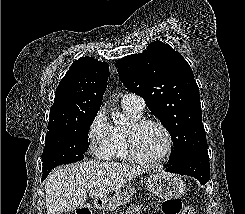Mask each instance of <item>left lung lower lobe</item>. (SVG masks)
I'll return each mask as SVG.
<instances>
[{"label":"left lung lower lobe","mask_w":245,"mask_h":214,"mask_svg":"<svg viewBox=\"0 0 245 214\" xmlns=\"http://www.w3.org/2000/svg\"><path fill=\"white\" fill-rule=\"evenodd\" d=\"M167 172L188 175L200 181L201 185L210 179L208 150L195 152L166 168Z\"/></svg>","instance_id":"obj_1"}]
</instances>
